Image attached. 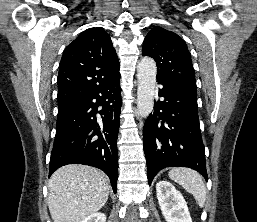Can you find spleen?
Masks as SVG:
<instances>
[{"mask_svg": "<svg viewBox=\"0 0 257 222\" xmlns=\"http://www.w3.org/2000/svg\"><path fill=\"white\" fill-rule=\"evenodd\" d=\"M168 175L186 191L191 193L200 207H204L206 201V187L199 173L188 168H174Z\"/></svg>", "mask_w": 257, "mask_h": 222, "instance_id": "obj_1", "label": "spleen"}]
</instances>
